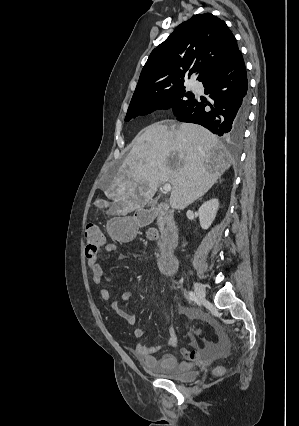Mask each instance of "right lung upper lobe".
<instances>
[{
    "label": "right lung upper lobe",
    "mask_w": 299,
    "mask_h": 426,
    "mask_svg": "<svg viewBox=\"0 0 299 426\" xmlns=\"http://www.w3.org/2000/svg\"><path fill=\"white\" fill-rule=\"evenodd\" d=\"M239 53L236 39L223 20L211 13L194 15L151 52L131 101L182 85L194 72L202 81Z\"/></svg>",
    "instance_id": "cb5924a9"
}]
</instances>
